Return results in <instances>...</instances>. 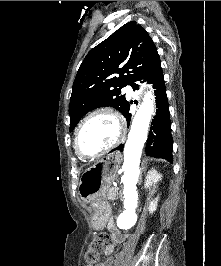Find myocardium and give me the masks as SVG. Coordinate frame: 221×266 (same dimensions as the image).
<instances>
[{"mask_svg": "<svg viewBox=\"0 0 221 266\" xmlns=\"http://www.w3.org/2000/svg\"><path fill=\"white\" fill-rule=\"evenodd\" d=\"M99 114H108L116 120L117 125H118V135H117L116 139L109 146L103 148L102 150H100L96 153L88 154L82 149V147L80 145L81 134H82V131H83L85 125L88 123V121H90L93 117H95ZM126 132H127L126 123H125L123 117L117 111H115L111 108H100V109H97V110L91 112L87 117H85V119L80 124V126L76 132V136H75V149H76L78 155H80L82 158H85V159L97 158V157L105 154L106 152L110 151L111 149L115 148L124 139Z\"/></svg>", "mask_w": 221, "mask_h": 266, "instance_id": "f54148a6", "label": "myocardium"}]
</instances>
